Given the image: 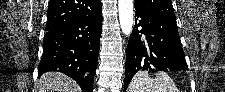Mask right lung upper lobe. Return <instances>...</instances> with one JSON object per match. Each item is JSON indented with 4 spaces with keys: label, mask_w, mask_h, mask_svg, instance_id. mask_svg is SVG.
Here are the masks:
<instances>
[{
    "label": "right lung upper lobe",
    "mask_w": 225,
    "mask_h": 92,
    "mask_svg": "<svg viewBox=\"0 0 225 92\" xmlns=\"http://www.w3.org/2000/svg\"><path fill=\"white\" fill-rule=\"evenodd\" d=\"M102 12L100 0H50L45 30L51 31Z\"/></svg>",
    "instance_id": "cb5924a9"
}]
</instances>
